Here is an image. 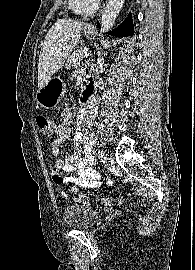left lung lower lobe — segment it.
<instances>
[{
  "label": "left lung lower lobe",
  "instance_id": "left-lung-lower-lobe-1",
  "mask_svg": "<svg viewBox=\"0 0 195 270\" xmlns=\"http://www.w3.org/2000/svg\"><path fill=\"white\" fill-rule=\"evenodd\" d=\"M98 27L100 28L99 22H97ZM134 26L132 23V18L129 16L120 24L117 28L109 32V34L116 37H128L134 34Z\"/></svg>",
  "mask_w": 195,
  "mask_h": 270
}]
</instances>
